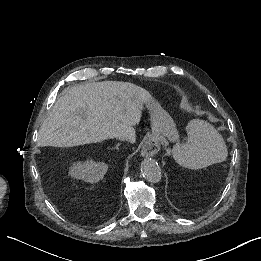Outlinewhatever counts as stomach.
I'll use <instances>...</instances> for the list:
<instances>
[{
	"instance_id": "obj_1",
	"label": "stomach",
	"mask_w": 261,
	"mask_h": 261,
	"mask_svg": "<svg viewBox=\"0 0 261 261\" xmlns=\"http://www.w3.org/2000/svg\"><path fill=\"white\" fill-rule=\"evenodd\" d=\"M145 106L150 111L152 134L159 137H167L171 141L177 140L176 124L158 101L151 97L145 102Z\"/></svg>"
}]
</instances>
